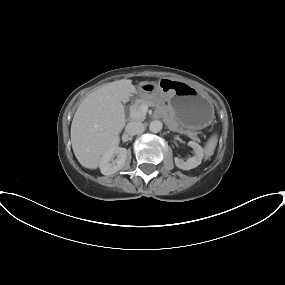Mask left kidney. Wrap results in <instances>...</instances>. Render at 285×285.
I'll use <instances>...</instances> for the list:
<instances>
[{"instance_id": "1", "label": "left kidney", "mask_w": 285, "mask_h": 285, "mask_svg": "<svg viewBox=\"0 0 285 285\" xmlns=\"http://www.w3.org/2000/svg\"><path fill=\"white\" fill-rule=\"evenodd\" d=\"M188 146H190L194 150L195 155L193 157L188 158L187 161H184L177 157H175L174 159L176 166L183 170H190L200 165L204 155L203 149L198 143L194 141H189Z\"/></svg>"}]
</instances>
